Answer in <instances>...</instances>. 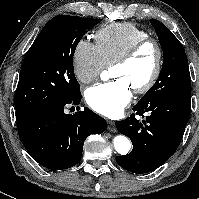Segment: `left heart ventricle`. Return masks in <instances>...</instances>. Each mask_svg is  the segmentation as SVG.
I'll return each instance as SVG.
<instances>
[{
	"instance_id": "left-heart-ventricle-1",
	"label": "left heart ventricle",
	"mask_w": 199,
	"mask_h": 199,
	"mask_svg": "<svg viewBox=\"0 0 199 199\" xmlns=\"http://www.w3.org/2000/svg\"><path fill=\"white\" fill-rule=\"evenodd\" d=\"M155 58L154 49L147 46L129 64L113 67L111 76L124 79L131 88L141 86L150 77L154 69Z\"/></svg>"
}]
</instances>
